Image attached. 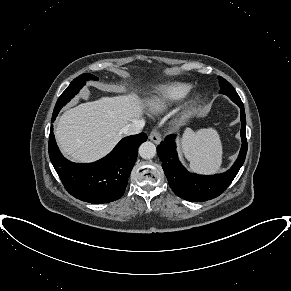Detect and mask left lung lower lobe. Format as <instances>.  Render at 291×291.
<instances>
[{"mask_svg": "<svg viewBox=\"0 0 291 291\" xmlns=\"http://www.w3.org/2000/svg\"><path fill=\"white\" fill-rule=\"evenodd\" d=\"M234 102L241 109L242 147L236 162L227 172L210 176L188 172L178 159L175 135L167 136L157 147V154L162 161L169 186L178 197L194 202L213 199L226 190L243 165L247 153L246 116L241 99Z\"/></svg>", "mask_w": 291, "mask_h": 291, "instance_id": "left-lung-lower-lobe-1", "label": "left lung lower lobe"}]
</instances>
